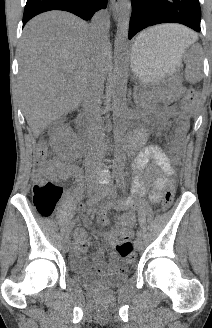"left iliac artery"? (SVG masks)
I'll list each match as a JSON object with an SVG mask.
<instances>
[{
    "mask_svg": "<svg viewBox=\"0 0 212 328\" xmlns=\"http://www.w3.org/2000/svg\"><path fill=\"white\" fill-rule=\"evenodd\" d=\"M117 183L119 185L120 188H123V183L120 179H117ZM137 237L138 238H141L142 237V232L140 229L137 230Z\"/></svg>",
    "mask_w": 212,
    "mask_h": 328,
    "instance_id": "44dca946",
    "label": "left iliac artery"
}]
</instances>
